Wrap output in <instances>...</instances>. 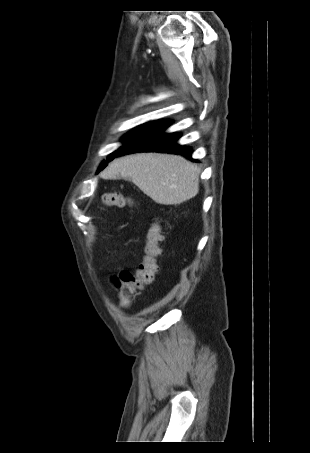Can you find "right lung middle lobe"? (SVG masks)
<instances>
[{"label": "right lung middle lobe", "mask_w": 310, "mask_h": 453, "mask_svg": "<svg viewBox=\"0 0 310 453\" xmlns=\"http://www.w3.org/2000/svg\"><path fill=\"white\" fill-rule=\"evenodd\" d=\"M152 123L153 122H148V123L142 124V125L138 126L137 128H135L134 130L130 131L127 135H125L121 140L122 143H124V145L121 148H119L117 151L110 154L108 161L113 160L130 142H132L135 138H137ZM106 165H107V161H104L101 164L99 171L102 170Z\"/></svg>", "instance_id": "obj_1"}]
</instances>
